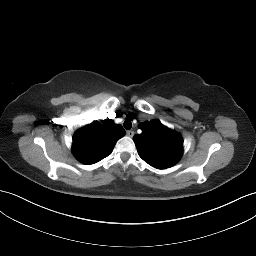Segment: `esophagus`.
I'll use <instances>...</instances> for the list:
<instances>
[{
  "label": "esophagus",
  "instance_id": "34e87169",
  "mask_svg": "<svg viewBox=\"0 0 256 256\" xmlns=\"http://www.w3.org/2000/svg\"><path fill=\"white\" fill-rule=\"evenodd\" d=\"M126 134H127L128 137L132 138V137L134 136V131L128 130V131L126 132Z\"/></svg>",
  "mask_w": 256,
  "mask_h": 256
}]
</instances>
